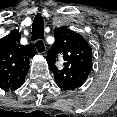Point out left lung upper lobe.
<instances>
[{
    "mask_svg": "<svg viewBox=\"0 0 117 117\" xmlns=\"http://www.w3.org/2000/svg\"><path fill=\"white\" fill-rule=\"evenodd\" d=\"M55 43L48 51L47 61L55 75L56 84L61 89L74 90L87 79L92 69V49L86 40L67 27L54 30ZM61 51L64 55V68L58 71L54 56Z\"/></svg>",
    "mask_w": 117,
    "mask_h": 117,
    "instance_id": "1",
    "label": "left lung upper lobe"
}]
</instances>
